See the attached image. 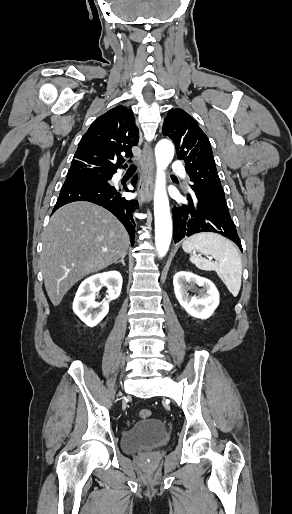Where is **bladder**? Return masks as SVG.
Listing matches in <instances>:
<instances>
[{"label": "bladder", "mask_w": 292, "mask_h": 514, "mask_svg": "<svg viewBox=\"0 0 292 514\" xmlns=\"http://www.w3.org/2000/svg\"><path fill=\"white\" fill-rule=\"evenodd\" d=\"M168 440L164 423L157 418H148L135 422L123 432L121 446L124 452L134 453L163 446Z\"/></svg>", "instance_id": "bladder-1"}]
</instances>
